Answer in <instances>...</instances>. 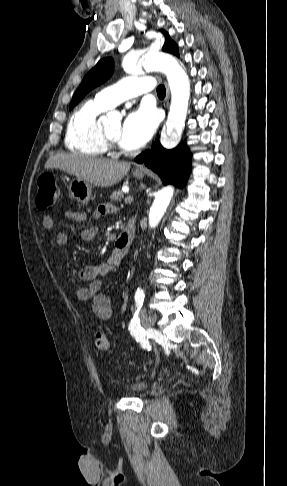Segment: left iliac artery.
<instances>
[{"label":"left iliac artery","instance_id":"left-iliac-artery-1","mask_svg":"<svg viewBox=\"0 0 287 486\" xmlns=\"http://www.w3.org/2000/svg\"><path fill=\"white\" fill-rule=\"evenodd\" d=\"M144 298H145L144 291L141 288H138L135 293V302H136L137 310L129 324V331L131 335L135 337V339L141 344V346L144 349L150 350L151 348L150 344L145 337V332L143 328H141L140 321L138 319V312L143 305Z\"/></svg>","mask_w":287,"mask_h":486}]
</instances>
